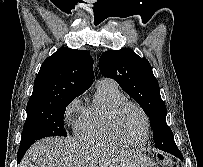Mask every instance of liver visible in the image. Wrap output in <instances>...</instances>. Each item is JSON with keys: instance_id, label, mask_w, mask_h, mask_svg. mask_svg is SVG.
Masks as SVG:
<instances>
[{"instance_id": "6515ba94", "label": "liver", "mask_w": 203, "mask_h": 167, "mask_svg": "<svg viewBox=\"0 0 203 167\" xmlns=\"http://www.w3.org/2000/svg\"><path fill=\"white\" fill-rule=\"evenodd\" d=\"M19 167H153L141 154L73 138L51 137L33 144Z\"/></svg>"}]
</instances>
